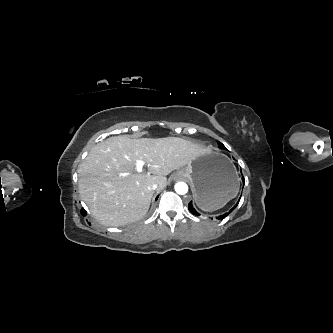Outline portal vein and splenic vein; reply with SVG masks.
Masks as SVG:
<instances>
[{
  "label": "portal vein and splenic vein",
  "mask_w": 333,
  "mask_h": 333,
  "mask_svg": "<svg viewBox=\"0 0 333 333\" xmlns=\"http://www.w3.org/2000/svg\"><path fill=\"white\" fill-rule=\"evenodd\" d=\"M144 165H145V162H144V161H142V160H138V161L136 162V171L139 172V173H141L142 170H143ZM129 174H130V173H121L120 175H122V176H127V175H129Z\"/></svg>",
  "instance_id": "obj_1"
}]
</instances>
